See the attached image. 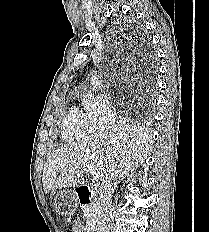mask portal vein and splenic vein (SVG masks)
<instances>
[{"instance_id":"1","label":"portal vein and splenic vein","mask_w":209,"mask_h":232,"mask_svg":"<svg viewBox=\"0 0 209 232\" xmlns=\"http://www.w3.org/2000/svg\"><path fill=\"white\" fill-rule=\"evenodd\" d=\"M87 172L92 176L94 181H97L100 178V173L97 172L93 167L87 166Z\"/></svg>"}]
</instances>
